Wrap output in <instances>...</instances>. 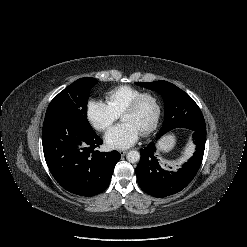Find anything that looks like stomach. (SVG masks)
I'll list each match as a JSON object with an SVG mask.
<instances>
[{
    "instance_id": "0dacf381",
    "label": "stomach",
    "mask_w": 247,
    "mask_h": 247,
    "mask_svg": "<svg viewBox=\"0 0 247 247\" xmlns=\"http://www.w3.org/2000/svg\"><path fill=\"white\" fill-rule=\"evenodd\" d=\"M175 144V139L172 135H167L159 142V150L167 151L170 150Z\"/></svg>"
}]
</instances>
